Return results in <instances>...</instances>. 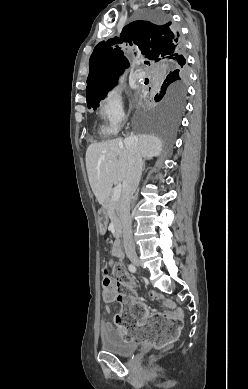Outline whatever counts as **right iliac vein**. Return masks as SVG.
Instances as JSON below:
<instances>
[{
    "mask_svg": "<svg viewBox=\"0 0 248 389\" xmlns=\"http://www.w3.org/2000/svg\"><path fill=\"white\" fill-rule=\"evenodd\" d=\"M129 259L131 260V262L136 265V266H139L140 265V259L139 257L136 255V254H132L129 256Z\"/></svg>",
    "mask_w": 248,
    "mask_h": 389,
    "instance_id": "right-iliac-vein-1",
    "label": "right iliac vein"
}]
</instances>
